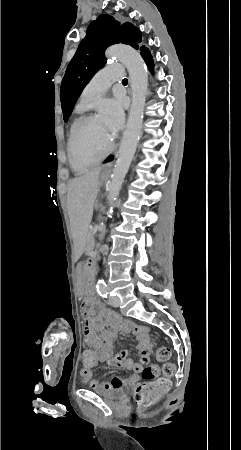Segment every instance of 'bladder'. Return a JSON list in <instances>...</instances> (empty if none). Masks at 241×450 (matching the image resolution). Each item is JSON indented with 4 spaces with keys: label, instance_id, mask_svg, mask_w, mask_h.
<instances>
[{
    "label": "bladder",
    "instance_id": "obj_1",
    "mask_svg": "<svg viewBox=\"0 0 241 450\" xmlns=\"http://www.w3.org/2000/svg\"><path fill=\"white\" fill-rule=\"evenodd\" d=\"M101 395L115 400L122 399L124 397V393L121 390H105L101 392Z\"/></svg>",
    "mask_w": 241,
    "mask_h": 450
}]
</instances>
